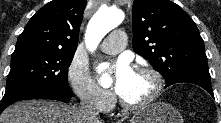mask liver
<instances>
[{"label":"liver","instance_id":"6515ba94","mask_svg":"<svg viewBox=\"0 0 221 123\" xmlns=\"http://www.w3.org/2000/svg\"><path fill=\"white\" fill-rule=\"evenodd\" d=\"M0 123H103L85 122L80 109L55 101H22L3 111Z\"/></svg>","mask_w":221,"mask_h":123}]
</instances>
